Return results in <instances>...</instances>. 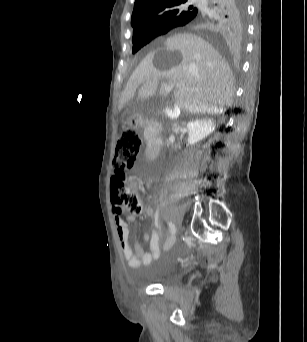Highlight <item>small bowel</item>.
<instances>
[{
  "label": "small bowel",
  "instance_id": "1",
  "mask_svg": "<svg viewBox=\"0 0 307 342\" xmlns=\"http://www.w3.org/2000/svg\"><path fill=\"white\" fill-rule=\"evenodd\" d=\"M154 212L151 208H147L144 212L145 218L153 217ZM128 220H132L129 219ZM116 233L120 240L124 258L131 268H139L142 265H148L152 260L159 257L160 254V233L156 230L151 235L145 234L144 238L149 243V251L145 252L143 248L135 242L130 235V229L126 220L120 216L114 219Z\"/></svg>",
  "mask_w": 307,
  "mask_h": 342
}]
</instances>
